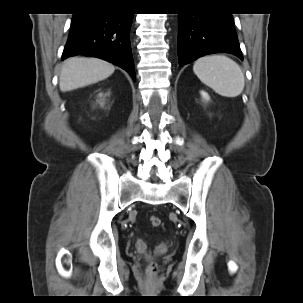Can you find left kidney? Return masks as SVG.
Here are the masks:
<instances>
[{
    "label": "left kidney",
    "mask_w": 303,
    "mask_h": 303,
    "mask_svg": "<svg viewBox=\"0 0 303 303\" xmlns=\"http://www.w3.org/2000/svg\"><path fill=\"white\" fill-rule=\"evenodd\" d=\"M201 95L204 100H209V95L205 91H201Z\"/></svg>",
    "instance_id": "1"
}]
</instances>
